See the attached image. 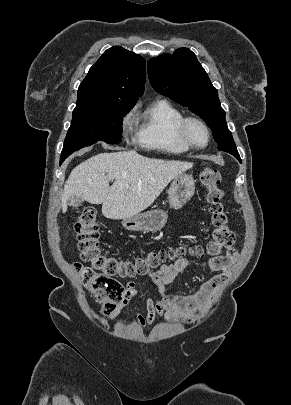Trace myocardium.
Listing matches in <instances>:
<instances>
[{
  "mask_svg": "<svg viewBox=\"0 0 291 405\" xmlns=\"http://www.w3.org/2000/svg\"><path fill=\"white\" fill-rule=\"evenodd\" d=\"M192 124L200 126L206 134V142L203 145L195 144L189 136V127ZM176 134L178 139L190 149L201 150L208 146L211 140V131L208 125L198 117L183 116L176 127Z\"/></svg>",
  "mask_w": 291,
  "mask_h": 405,
  "instance_id": "f54148a6",
  "label": "myocardium"
}]
</instances>
